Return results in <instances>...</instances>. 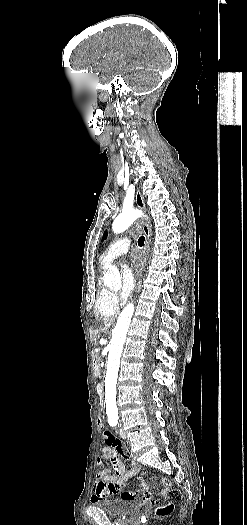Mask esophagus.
<instances>
[{
	"label": "esophagus",
	"mask_w": 247,
	"mask_h": 525,
	"mask_svg": "<svg viewBox=\"0 0 247 525\" xmlns=\"http://www.w3.org/2000/svg\"><path fill=\"white\" fill-rule=\"evenodd\" d=\"M135 200H136V204H137L138 208L144 209L145 203H144L143 197L141 195V192L139 190H137V192H136ZM143 231H144V234H145V237H146L144 253H145V259H147L148 255H149V252H150V231H149L148 225L143 224Z\"/></svg>",
	"instance_id": "34e87169"
}]
</instances>
